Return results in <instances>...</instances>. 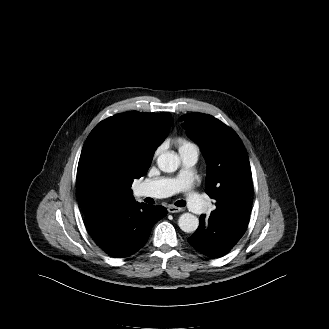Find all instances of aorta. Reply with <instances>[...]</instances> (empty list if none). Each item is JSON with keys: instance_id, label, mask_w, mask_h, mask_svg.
<instances>
[{"instance_id": "obj_1", "label": "aorta", "mask_w": 329, "mask_h": 329, "mask_svg": "<svg viewBox=\"0 0 329 329\" xmlns=\"http://www.w3.org/2000/svg\"><path fill=\"white\" fill-rule=\"evenodd\" d=\"M157 165L163 172H175L180 165V159L174 152H165L158 156ZM178 226L182 231L192 233L197 230L199 220L191 213H184L178 219Z\"/></svg>"}]
</instances>
